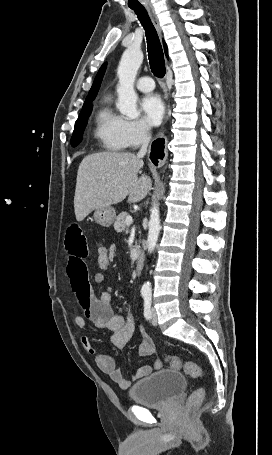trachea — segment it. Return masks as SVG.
Listing matches in <instances>:
<instances>
[{
	"instance_id": "3493384b",
	"label": "trachea",
	"mask_w": 272,
	"mask_h": 455,
	"mask_svg": "<svg viewBox=\"0 0 272 455\" xmlns=\"http://www.w3.org/2000/svg\"><path fill=\"white\" fill-rule=\"evenodd\" d=\"M132 9L145 29L150 69L156 77L163 78L166 73V68L164 54L157 31L143 6Z\"/></svg>"
}]
</instances>
